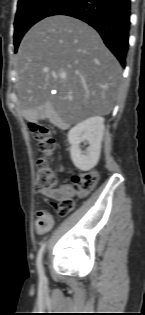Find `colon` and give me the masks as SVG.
I'll return each mask as SVG.
<instances>
[{"label":"colon","instance_id":"obj_1","mask_svg":"<svg viewBox=\"0 0 145 315\" xmlns=\"http://www.w3.org/2000/svg\"><path fill=\"white\" fill-rule=\"evenodd\" d=\"M30 129L35 134L39 144L40 155L37 160V188L50 189L57 183L56 177L50 167V157L53 155L55 141L51 130L38 123H30ZM97 182V173L95 171L84 172L73 176L72 187L78 194H86L93 189ZM74 207V201L71 196H66L59 200L56 210L59 215L70 212Z\"/></svg>","mask_w":145,"mask_h":315}]
</instances>
